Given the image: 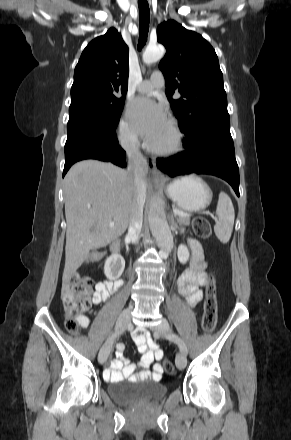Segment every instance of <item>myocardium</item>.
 Returning a JSON list of instances; mask_svg holds the SVG:
<instances>
[{"mask_svg":"<svg viewBox=\"0 0 291 440\" xmlns=\"http://www.w3.org/2000/svg\"><path fill=\"white\" fill-rule=\"evenodd\" d=\"M169 125L173 136L172 142L166 147L156 146L152 143H148L147 147L149 151L159 156H172L179 153L183 149L184 135L181 129L173 120L170 121Z\"/></svg>","mask_w":291,"mask_h":440,"instance_id":"f54148a6","label":"myocardium"}]
</instances>
